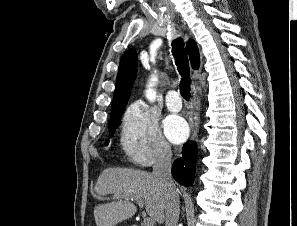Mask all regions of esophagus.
Segmentation results:
<instances>
[{"instance_id": "obj_1", "label": "esophagus", "mask_w": 297, "mask_h": 226, "mask_svg": "<svg viewBox=\"0 0 297 226\" xmlns=\"http://www.w3.org/2000/svg\"><path fill=\"white\" fill-rule=\"evenodd\" d=\"M192 100L194 103L192 138H195L199 130V116L201 107V98L195 85L192 87Z\"/></svg>"}]
</instances>
